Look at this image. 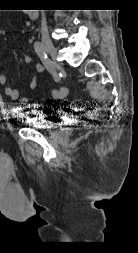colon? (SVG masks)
Returning <instances> with one entry per match:
<instances>
[{
	"label": "colon",
	"instance_id": "obj_1",
	"mask_svg": "<svg viewBox=\"0 0 138 253\" xmlns=\"http://www.w3.org/2000/svg\"><path fill=\"white\" fill-rule=\"evenodd\" d=\"M68 94V88L63 86V87H60L58 89H55L53 92H52V95L55 99H61V98H64L66 95Z\"/></svg>",
	"mask_w": 138,
	"mask_h": 253
}]
</instances>
